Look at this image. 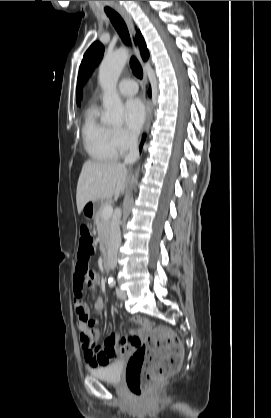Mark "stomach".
<instances>
[{"mask_svg": "<svg viewBox=\"0 0 271 418\" xmlns=\"http://www.w3.org/2000/svg\"><path fill=\"white\" fill-rule=\"evenodd\" d=\"M101 205L100 201H89L83 207V214L86 218L91 219L97 213L99 207Z\"/></svg>", "mask_w": 271, "mask_h": 418, "instance_id": "0dacf381", "label": "stomach"}]
</instances>
